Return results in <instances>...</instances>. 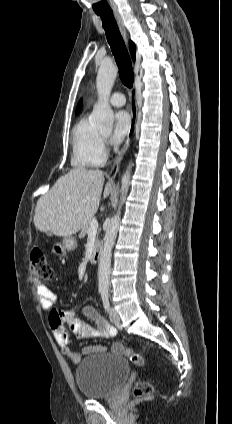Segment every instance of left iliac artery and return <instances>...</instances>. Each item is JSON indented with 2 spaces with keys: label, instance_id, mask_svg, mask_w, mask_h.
<instances>
[{
  "label": "left iliac artery",
  "instance_id": "44dca946",
  "mask_svg": "<svg viewBox=\"0 0 232 424\" xmlns=\"http://www.w3.org/2000/svg\"><path fill=\"white\" fill-rule=\"evenodd\" d=\"M103 306L106 311L109 310V295L107 293L102 294Z\"/></svg>",
  "mask_w": 232,
  "mask_h": 424
}]
</instances>
